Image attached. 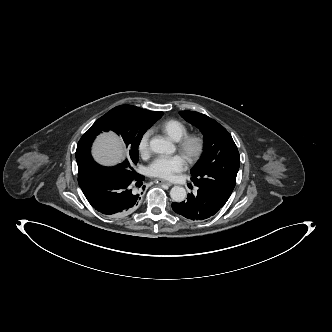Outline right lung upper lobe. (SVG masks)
I'll return each instance as SVG.
<instances>
[{
  "label": "right lung upper lobe",
  "mask_w": 332,
  "mask_h": 332,
  "mask_svg": "<svg viewBox=\"0 0 332 332\" xmlns=\"http://www.w3.org/2000/svg\"><path fill=\"white\" fill-rule=\"evenodd\" d=\"M128 106L131 110L136 111L138 113H142V114H150V113L156 112V111L144 110V109H141V108H138V107H135V106H131V105H128Z\"/></svg>",
  "instance_id": "obj_1"
}]
</instances>
